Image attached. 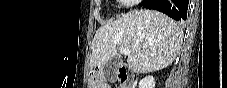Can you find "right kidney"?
<instances>
[{"label": "right kidney", "mask_w": 227, "mask_h": 88, "mask_svg": "<svg viewBox=\"0 0 227 88\" xmlns=\"http://www.w3.org/2000/svg\"><path fill=\"white\" fill-rule=\"evenodd\" d=\"M139 88H155V79L153 76H146L139 82Z\"/></svg>", "instance_id": "ca27d5eb"}]
</instances>
